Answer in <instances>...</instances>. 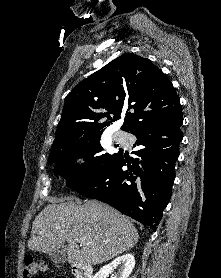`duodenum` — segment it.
Returning <instances> with one entry per match:
<instances>
[{
    "mask_svg": "<svg viewBox=\"0 0 221 278\" xmlns=\"http://www.w3.org/2000/svg\"><path fill=\"white\" fill-rule=\"evenodd\" d=\"M72 272L75 278H93V272L89 265L76 263L72 266Z\"/></svg>",
    "mask_w": 221,
    "mask_h": 278,
    "instance_id": "410a0bca",
    "label": "duodenum"
}]
</instances>
